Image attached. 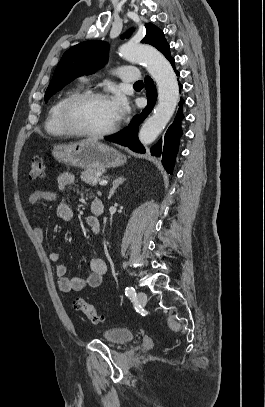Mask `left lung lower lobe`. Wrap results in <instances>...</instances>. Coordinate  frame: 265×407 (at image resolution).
<instances>
[{
	"mask_svg": "<svg viewBox=\"0 0 265 407\" xmlns=\"http://www.w3.org/2000/svg\"><path fill=\"white\" fill-rule=\"evenodd\" d=\"M168 60L173 66L176 75L179 76L180 73L176 71L174 66V58H170ZM179 86L182 88L181 84ZM145 88L147 90L148 104L142 113L140 115H136L130 122L129 126L121 132L105 137V139L108 141L127 146L131 150L138 153H145V148L141 145L137 137L139 124L142 123L143 120L149 115L155 105L157 97L156 87L153 84V80L148 76L145 78ZM184 102L185 101L183 99H181L179 102L177 115L174 122L169 126L165 134L164 144H162V140H160L151 149L152 155L162 158V163L168 173H172L179 148L180 137L182 135L181 121L184 118L182 109Z\"/></svg>",
	"mask_w": 265,
	"mask_h": 407,
	"instance_id": "0a47b994",
	"label": "left lung lower lobe"
}]
</instances>
